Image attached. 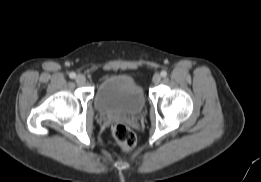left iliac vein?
<instances>
[{"mask_svg": "<svg viewBox=\"0 0 261 182\" xmlns=\"http://www.w3.org/2000/svg\"><path fill=\"white\" fill-rule=\"evenodd\" d=\"M152 80H153V83H154L155 85L159 84L160 81H161V76H160V74H158V73L154 74Z\"/></svg>", "mask_w": 261, "mask_h": 182, "instance_id": "1", "label": "left iliac vein"}]
</instances>
